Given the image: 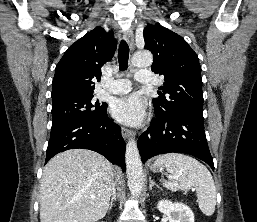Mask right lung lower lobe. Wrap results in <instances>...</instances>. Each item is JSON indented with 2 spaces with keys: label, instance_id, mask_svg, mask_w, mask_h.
<instances>
[{
  "label": "right lung lower lobe",
  "instance_id": "1",
  "mask_svg": "<svg viewBox=\"0 0 257 222\" xmlns=\"http://www.w3.org/2000/svg\"><path fill=\"white\" fill-rule=\"evenodd\" d=\"M76 148L98 152L123 171L126 169L121 128L107 117V112L94 120H69L52 126L46 163L57 153Z\"/></svg>",
  "mask_w": 257,
  "mask_h": 222
}]
</instances>
